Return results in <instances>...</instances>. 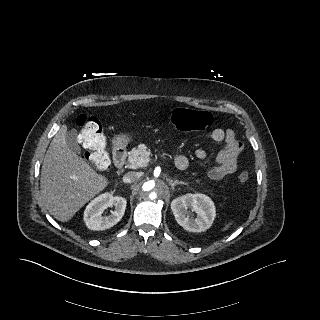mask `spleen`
<instances>
[{
  "mask_svg": "<svg viewBox=\"0 0 320 320\" xmlns=\"http://www.w3.org/2000/svg\"><path fill=\"white\" fill-rule=\"evenodd\" d=\"M231 225V222H229L228 224H226L222 229L221 231H226Z\"/></svg>",
  "mask_w": 320,
  "mask_h": 320,
  "instance_id": "3e777b00",
  "label": "spleen"
}]
</instances>
